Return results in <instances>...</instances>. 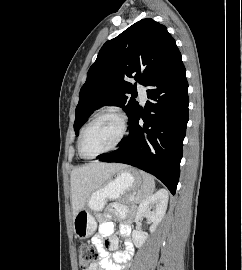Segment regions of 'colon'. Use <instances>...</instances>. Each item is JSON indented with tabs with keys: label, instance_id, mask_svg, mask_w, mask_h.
<instances>
[{
	"label": "colon",
	"instance_id": "obj_1",
	"mask_svg": "<svg viewBox=\"0 0 242 270\" xmlns=\"http://www.w3.org/2000/svg\"><path fill=\"white\" fill-rule=\"evenodd\" d=\"M77 254L81 270H85L93 264L98 257L96 250L88 244L79 245L77 248Z\"/></svg>",
	"mask_w": 242,
	"mask_h": 270
}]
</instances>
